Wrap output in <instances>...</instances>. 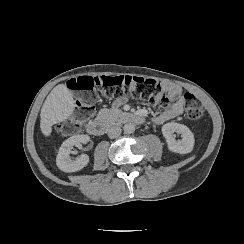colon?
I'll list each match as a JSON object with an SVG mask.
<instances>
[{
  "mask_svg": "<svg viewBox=\"0 0 244 244\" xmlns=\"http://www.w3.org/2000/svg\"><path fill=\"white\" fill-rule=\"evenodd\" d=\"M70 88L81 92L79 99L84 106H94L98 99L96 89L102 90V95L108 99H120L130 94L133 98L151 100L158 106H167L169 100L166 92L152 78L132 75L99 76L96 74H85L77 80H70ZM185 115L190 120H201L203 107L199 99L191 93L185 94ZM90 114L86 107H80L73 113V119L68 120L63 126L65 134H74L79 131V122L89 120Z\"/></svg>",
  "mask_w": 244,
  "mask_h": 244,
  "instance_id": "5ec220e1",
  "label": "colon"
}]
</instances>
